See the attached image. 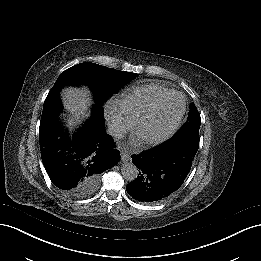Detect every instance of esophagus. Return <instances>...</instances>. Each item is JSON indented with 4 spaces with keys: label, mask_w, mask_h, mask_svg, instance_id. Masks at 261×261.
Listing matches in <instances>:
<instances>
[{
    "label": "esophagus",
    "mask_w": 261,
    "mask_h": 261,
    "mask_svg": "<svg viewBox=\"0 0 261 261\" xmlns=\"http://www.w3.org/2000/svg\"><path fill=\"white\" fill-rule=\"evenodd\" d=\"M121 159L123 162H128L130 160V155H129L128 151H126V150L121 151Z\"/></svg>",
    "instance_id": "esophagus-1"
}]
</instances>
